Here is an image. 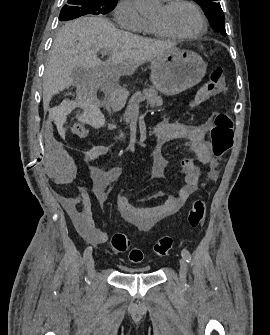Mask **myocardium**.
I'll list each match as a JSON object with an SVG mask.
<instances>
[{"label": "myocardium", "mask_w": 270, "mask_h": 335, "mask_svg": "<svg viewBox=\"0 0 270 335\" xmlns=\"http://www.w3.org/2000/svg\"><path fill=\"white\" fill-rule=\"evenodd\" d=\"M181 4L189 5L197 13V15L200 19V23H201L200 29L198 31H196L194 33H189V34H179V33H174V32L168 31L165 28L158 25L157 23H155V22H152V24L159 31V33L162 34L165 37L179 39V40L196 39V38L200 37L201 35H203L205 33V31L207 30L206 19L203 15L202 11L200 10V8L194 2H192L190 0H178V1H175V2H171L170 4L166 5V8L169 11H171V10L175 9L177 6H179ZM182 52H191V51H182ZM194 78H201V77H194Z\"/></svg>", "instance_id": "obj_1"}]
</instances>
